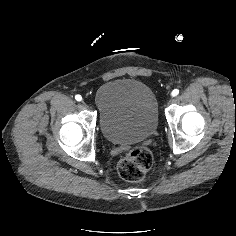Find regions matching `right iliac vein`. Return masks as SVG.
Wrapping results in <instances>:
<instances>
[{
  "instance_id": "right-iliac-vein-1",
  "label": "right iliac vein",
  "mask_w": 236,
  "mask_h": 236,
  "mask_svg": "<svg viewBox=\"0 0 236 236\" xmlns=\"http://www.w3.org/2000/svg\"><path fill=\"white\" fill-rule=\"evenodd\" d=\"M82 105H83V107L87 108V110H89V111L92 110V108H93L92 105L88 104V102H86V101L82 102Z\"/></svg>"
}]
</instances>
